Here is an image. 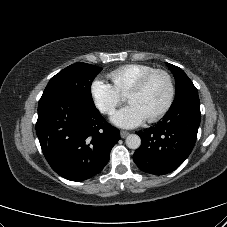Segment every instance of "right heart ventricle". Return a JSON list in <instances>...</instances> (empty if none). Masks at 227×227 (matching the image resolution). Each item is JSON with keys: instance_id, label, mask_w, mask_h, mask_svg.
<instances>
[{"instance_id": "1", "label": "right heart ventricle", "mask_w": 227, "mask_h": 227, "mask_svg": "<svg viewBox=\"0 0 227 227\" xmlns=\"http://www.w3.org/2000/svg\"><path fill=\"white\" fill-rule=\"evenodd\" d=\"M150 65L127 64L114 69L108 74L113 87L121 94L126 95L131 86L144 74L153 70Z\"/></svg>"}]
</instances>
